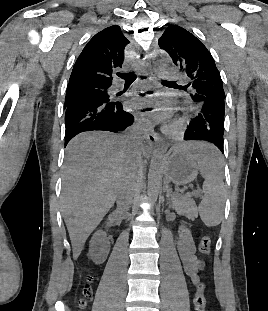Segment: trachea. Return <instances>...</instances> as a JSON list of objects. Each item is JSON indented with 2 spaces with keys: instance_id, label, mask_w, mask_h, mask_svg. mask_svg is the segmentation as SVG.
I'll use <instances>...</instances> for the list:
<instances>
[{
  "instance_id": "1",
  "label": "trachea",
  "mask_w": 268,
  "mask_h": 311,
  "mask_svg": "<svg viewBox=\"0 0 268 311\" xmlns=\"http://www.w3.org/2000/svg\"><path fill=\"white\" fill-rule=\"evenodd\" d=\"M119 77L125 80V83H132L136 79V75L134 72L131 73H118L117 74ZM164 82H168L165 81Z\"/></svg>"
}]
</instances>
